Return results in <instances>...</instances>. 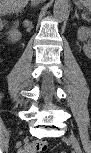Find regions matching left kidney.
Segmentation results:
<instances>
[{"label": "left kidney", "instance_id": "obj_1", "mask_svg": "<svg viewBox=\"0 0 91 153\" xmlns=\"http://www.w3.org/2000/svg\"><path fill=\"white\" fill-rule=\"evenodd\" d=\"M89 33H90L89 28L81 27L80 29H78L77 37L80 41H84L86 38V35ZM83 50L87 57H91V47L89 45H84Z\"/></svg>", "mask_w": 91, "mask_h": 153}]
</instances>
